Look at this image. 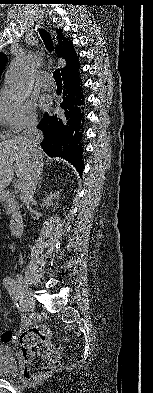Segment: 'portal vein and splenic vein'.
Wrapping results in <instances>:
<instances>
[{
  "mask_svg": "<svg viewBox=\"0 0 153 393\" xmlns=\"http://www.w3.org/2000/svg\"><path fill=\"white\" fill-rule=\"evenodd\" d=\"M20 186H21L20 182L17 181V182L15 183V188H19Z\"/></svg>",
  "mask_w": 153,
  "mask_h": 393,
  "instance_id": "portal-vein-and-splenic-vein-1",
  "label": "portal vein and splenic vein"
}]
</instances>
